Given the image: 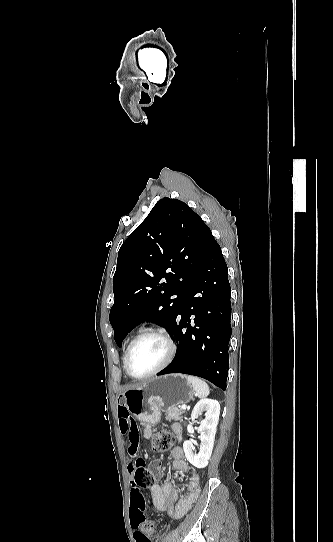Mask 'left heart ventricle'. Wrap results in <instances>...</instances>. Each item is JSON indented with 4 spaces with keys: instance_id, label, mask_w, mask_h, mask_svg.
Here are the masks:
<instances>
[{
    "instance_id": "1",
    "label": "left heart ventricle",
    "mask_w": 333,
    "mask_h": 542,
    "mask_svg": "<svg viewBox=\"0 0 333 542\" xmlns=\"http://www.w3.org/2000/svg\"><path fill=\"white\" fill-rule=\"evenodd\" d=\"M164 342L153 336L141 339L133 348L129 361V371L134 376H142L157 368L165 359Z\"/></svg>"
}]
</instances>
